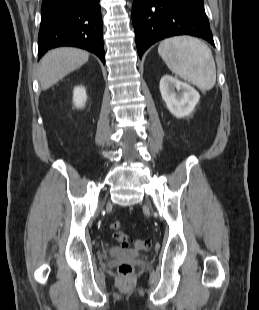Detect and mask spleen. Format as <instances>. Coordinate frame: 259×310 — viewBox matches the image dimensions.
Masks as SVG:
<instances>
[{
    "instance_id": "spleen-1",
    "label": "spleen",
    "mask_w": 259,
    "mask_h": 310,
    "mask_svg": "<svg viewBox=\"0 0 259 310\" xmlns=\"http://www.w3.org/2000/svg\"><path fill=\"white\" fill-rule=\"evenodd\" d=\"M158 53L175 75L202 91L214 87V57L211 49L201 40L190 36L168 38L159 44Z\"/></svg>"
}]
</instances>
